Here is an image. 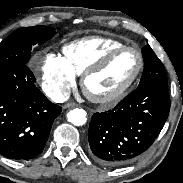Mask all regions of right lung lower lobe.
Returning a JSON list of instances; mask_svg holds the SVG:
<instances>
[{"instance_id": "98d812e1", "label": "right lung lower lobe", "mask_w": 183, "mask_h": 183, "mask_svg": "<svg viewBox=\"0 0 183 183\" xmlns=\"http://www.w3.org/2000/svg\"><path fill=\"white\" fill-rule=\"evenodd\" d=\"M26 64L0 68V154L32 159L44 148L61 107L35 86Z\"/></svg>"}]
</instances>
